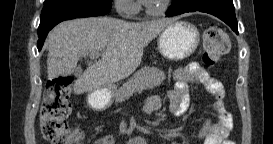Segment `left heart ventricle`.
Masks as SVG:
<instances>
[{
  "label": "left heart ventricle",
  "instance_id": "obj_1",
  "mask_svg": "<svg viewBox=\"0 0 273 144\" xmlns=\"http://www.w3.org/2000/svg\"><path fill=\"white\" fill-rule=\"evenodd\" d=\"M163 0H152L148 5L152 8H157L161 5Z\"/></svg>",
  "mask_w": 273,
  "mask_h": 144
}]
</instances>
